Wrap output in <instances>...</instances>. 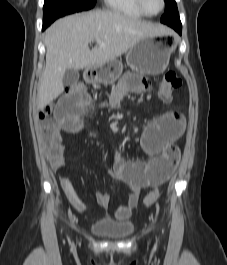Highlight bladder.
<instances>
[{
  "instance_id": "obj_1",
  "label": "bladder",
  "mask_w": 227,
  "mask_h": 265,
  "mask_svg": "<svg viewBox=\"0 0 227 265\" xmlns=\"http://www.w3.org/2000/svg\"><path fill=\"white\" fill-rule=\"evenodd\" d=\"M91 231L101 238L123 239L132 233L133 227L128 224L97 222L91 226Z\"/></svg>"
}]
</instances>
